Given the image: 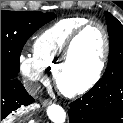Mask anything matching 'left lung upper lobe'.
Instances as JSON below:
<instances>
[{
  "label": "left lung upper lobe",
  "mask_w": 123,
  "mask_h": 123,
  "mask_svg": "<svg viewBox=\"0 0 123 123\" xmlns=\"http://www.w3.org/2000/svg\"><path fill=\"white\" fill-rule=\"evenodd\" d=\"M109 34L107 69L99 84L110 85L123 78V25L109 12H105Z\"/></svg>",
  "instance_id": "1"
}]
</instances>
